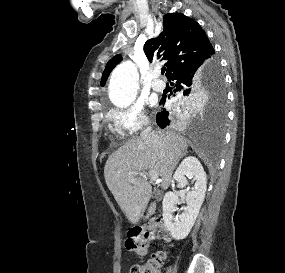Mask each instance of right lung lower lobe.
<instances>
[{
	"instance_id": "1",
	"label": "right lung lower lobe",
	"mask_w": 285,
	"mask_h": 273,
	"mask_svg": "<svg viewBox=\"0 0 285 273\" xmlns=\"http://www.w3.org/2000/svg\"><path fill=\"white\" fill-rule=\"evenodd\" d=\"M214 57H204L192 64L186 65L179 70L175 71L168 78L170 81H174V92H179L182 96H188L196 88L200 87L208 74ZM166 98L162 97L159 104H164ZM178 111L176 113L182 114L187 112L193 107V102L182 103L178 105ZM173 113H170L164 109L161 113L156 115V122L161 128H165L171 123Z\"/></svg>"
}]
</instances>
